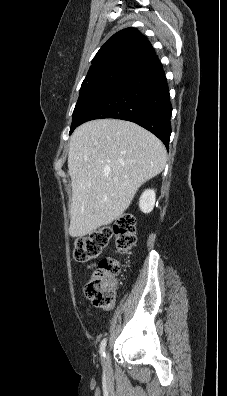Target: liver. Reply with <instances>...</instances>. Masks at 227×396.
Instances as JSON below:
<instances>
[{
	"instance_id": "obj_1",
	"label": "liver",
	"mask_w": 227,
	"mask_h": 396,
	"mask_svg": "<svg viewBox=\"0 0 227 396\" xmlns=\"http://www.w3.org/2000/svg\"><path fill=\"white\" fill-rule=\"evenodd\" d=\"M166 160L162 142L135 123L98 119L77 127L68 153L70 236L91 234L122 216L138 188L160 174Z\"/></svg>"
}]
</instances>
